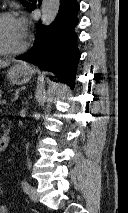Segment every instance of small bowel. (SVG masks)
I'll use <instances>...</instances> for the list:
<instances>
[{"mask_svg":"<svg viewBox=\"0 0 128 213\" xmlns=\"http://www.w3.org/2000/svg\"><path fill=\"white\" fill-rule=\"evenodd\" d=\"M0 213H8V209L5 206H0Z\"/></svg>","mask_w":128,"mask_h":213,"instance_id":"1","label":"small bowel"}]
</instances>
